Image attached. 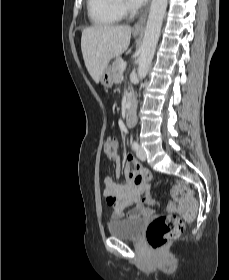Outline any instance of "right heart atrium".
Wrapping results in <instances>:
<instances>
[{"label":"right heart atrium","mask_w":229,"mask_h":280,"mask_svg":"<svg viewBox=\"0 0 229 280\" xmlns=\"http://www.w3.org/2000/svg\"><path fill=\"white\" fill-rule=\"evenodd\" d=\"M118 1L122 11H127L129 9V5L125 0H118Z\"/></svg>","instance_id":"right-heart-atrium-1"}]
</instances>
